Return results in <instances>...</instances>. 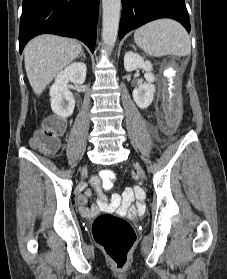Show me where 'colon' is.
Here are the masks:
<instances>
[{
    "instance_id": "5ec220e1",
    "label": "colon",
    "mask_w": 227,
    "mask_h": 279,
    "mask_svg": "<svg viewBox=\"0 0 227 279\" xmlns=\"http://www.w3.org/2000/svg\"><path fill=\"white\" fill-rule=\"evenodd\" d=\"M65 130V122L55 117L44 121L43 129L37 131L32 138V145L45 154H52L59 149L58 136ZM117 181L116 175L109 170L100 174L99 183L111 187ZM128 195L135 191L125 192ZM92 234L99 246L110 259L119 266H124L135 240L132 225L124 218L109 212L99 214L92 225Z\"/></svg>"
}]
</instances>
